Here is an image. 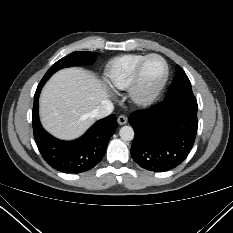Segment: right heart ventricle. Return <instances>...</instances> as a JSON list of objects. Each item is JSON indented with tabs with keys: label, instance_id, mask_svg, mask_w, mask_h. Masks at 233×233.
Segmentation results:
<instances>
[{
	"label": "right heart ventricle",
	"instance_id": "right-heart-ventricle-1",
	"mask_svg": "<svg viewBox=\"0 0 233 233\" xmlns=\"http://www.w3.org/2000/svg\"><path fill=\"white\" fill-rule=\"evenodd\" d=\"M145 56L140 54H127L110 61L105 69V80L107 84L118 90L128 89L137 66Z\"/></svg>",
	"mask_w": 233,
	"mask_h": 233
}]
</instances>
